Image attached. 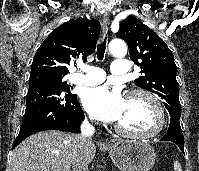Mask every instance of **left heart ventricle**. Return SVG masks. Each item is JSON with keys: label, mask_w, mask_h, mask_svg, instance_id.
Wrapping results in <instances>:
<instances>
[{"label": "left heart ventricle", "mask_w": 199, "mask_h": 171, "mask_svg": "<svg viewBox=\"0 0 199 171\" xmlns=\"http://www.w3.org/2000/svg\"><path fill=\"white\" fill-rule=\"evenodd\" d=\"M155 114L151 104L142 96L126 99V105L117 124L129 131H147L155 126Z\"/></svg>", "instance_id": "obj_1"}]
</instances>
